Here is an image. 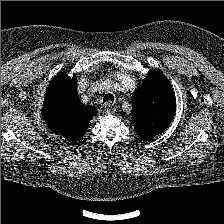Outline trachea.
<instances>
[{"label":"trachea","instance_id":"3493384b","mask_svg":"<svg viewBox=\"0 0 224 224\" xmlns=\"http://www.w3.org/2000/svg\"><path fill=\"white\" fill-rule=\"evenodd\" d=\"M113 95L112 94H106L103 98V103L107 102V101H113Z\"/></svg>","mask_w":224,"mask_h":224}]
</instances>
